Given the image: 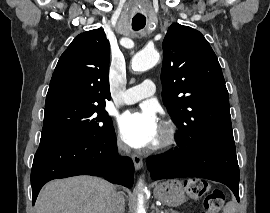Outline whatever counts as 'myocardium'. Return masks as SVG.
Masks as SVG:
<instances>
[{
	"label": "myocardium",
	"instance_id": "myocardium-1",
	"mask_svg": "<svg viewBox=\"0 0 270 213\" xmlns=\"http://www.w3.org/2000/svg\"><path fill=\"white\" fill-rule=\"evenodd\" d=\"M177 130L171 122H163L161 124L160 132L157 141L154 143L152 149L154 151H163L170 148L177 142Z\"/></svg>",
	"mask_w": 270,
	"mask_h": 213
}]
</instances>
